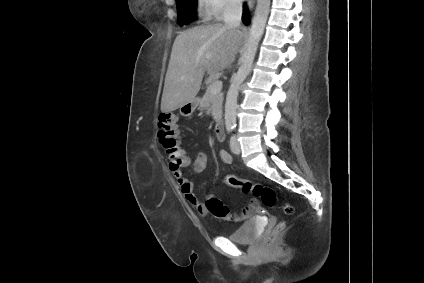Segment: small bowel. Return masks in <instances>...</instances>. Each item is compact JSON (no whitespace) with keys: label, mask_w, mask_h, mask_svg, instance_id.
<instances>
[{"label":"small bowel","mask_w":424,"mask_h":283,"mask_svg":"<svg viewBox=\"0 0 424 283\" xmlns=\"http://www.w3.org/2000/svg\"><path fill=\"white\" fill-rule=\"evenodd\" d=\"M224 140V135L222 140ZM219 158L220 160L227 165L232 164V156L226 151V150H221L219 152ZM191 164V169L193 174H200L202 173L205 168H206V164H207V156L205 153L203 152H199L197 153V155L195 156L194 160L191 162L190 159L188 158V164ZM173 176L177 182V185L179 187L180 192L182 193V195L184 196L185 200L191 205L193 206L196 211L201 214V215H206L208 213L206 205L204 202L200 201L195 193H194V185L193 182L187 178L183 171L180 169L172 171Z\"/></svg>","instance_id":"c3829d8e"}]
</instances>
